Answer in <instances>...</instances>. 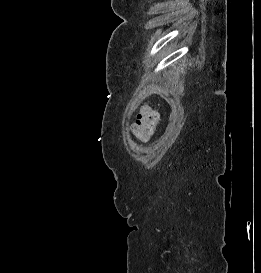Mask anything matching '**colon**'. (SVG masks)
I'll return each mask as SVG.
<instances>
[{
    "instance_id": "colon-1",
    "label": "colon",
    "mask_w": 261,
    "mask_h": 273,
    "mask_svg": "<svg viewBox=\"0 0 261 273\" xmlns=\"http://www.w3.org/2000/svg\"><path fill=\"white\" fill-rule=\"evenodd\" d=\"M157 123V114L148 108H143L137 115L132 132L139 140H147L153 133Z\"/></svg>"
}]
</instances>
